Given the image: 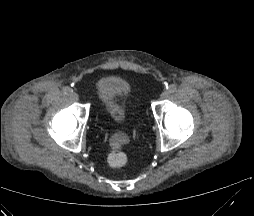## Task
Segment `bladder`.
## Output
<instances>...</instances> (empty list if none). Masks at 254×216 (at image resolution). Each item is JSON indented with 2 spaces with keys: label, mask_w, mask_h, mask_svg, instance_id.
<instances>
[{
  "label": "bladder",
  "mask_w": 254,
  "mask_h": 216,
  "mask_svg": "<svg viewBox=\"0 0 254 216\" xmlns=\"http://www.w3.org/2000/svg\"><path fill=\"white\" fill-rule=\"evenodd\" d=\"M97 91L105 114L115 124H125L132 109L128 101L130 91L126 81L114 75L105 76L98 82Z\"/></svg>",
  "instance_id": "bladder-1"
}]
</instances>
